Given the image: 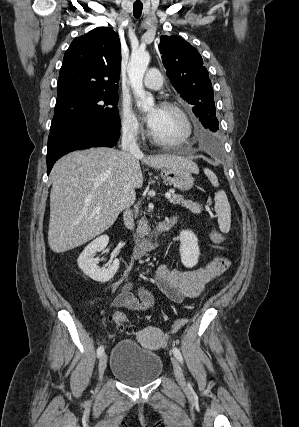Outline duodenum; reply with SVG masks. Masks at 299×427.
Segmentation results:
<instances>
[{"instance_id":"410a0bca","label":"duodenum","mask_w":299,"mask_h":427,"mask_svg":"<svg viewBox=\"0 0 299 427\" xmlns=\"http://www.w3.org/2000/svg\"><path fill=\"white\" fill-rule=\"evenodd\" d=\"M175 217H169L155 224L149 237L134 241L132 250L135 257L140 258L152 251L159 241L160 236L168 231L175 223Z\"/></svg>"}]
</instances>
